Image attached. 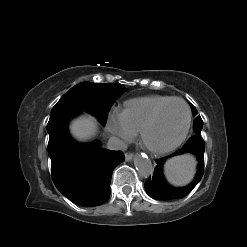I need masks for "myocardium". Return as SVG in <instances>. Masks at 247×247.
<instances>
[{
  "instance_id": "myocardium-1",
  "label": "myocardium",
  "mask_w": 247,
  "mask_h": 247,
  "mask_svg": "<svg viewBox=\"0 0 247 247\" xmlns=\"http://www.w3.org/2000/svg\"><path fill=\"white\" fill-rule=\"evenodd\" d=\"M176 101L183 103L185 108H186V112H187L186 124H185V128H184L181 136L176 141H174L173 143L166 145V146H153V145H151L146 139L147 132L153 126V124L156 122L157 118L159 117V115L163 111V109L167 105H169L170 103L176 102ZM191 122H192V112H191V109H190V106L188 105V103L180 97H172V98L166 100L165 102H163L162 104H160L153 111V113L146 120V122L143 124V126L141 127V129L139 131L141 143L147 150H149L150 152H152L154 154L168 153V152L176 149L177 147H179L185 141V139L188 136V133L190 131Z\"/></svg>"
}]
</instances>
